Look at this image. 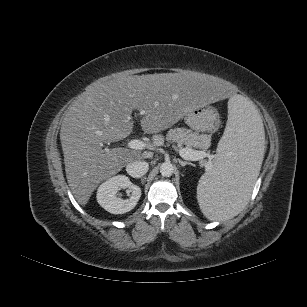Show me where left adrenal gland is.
I'll use <instances>...</instances> for the list:
<instances>
[{"instance_id": "a2214340", "label": "left adrenal gland", "mask_w": 307, "mask_h": 307, "mask_svg": "<svg viewBox=\"0 0 307 307\" xmlns=\"http://www.w3.org/2000/svg\"><path fill=\"white\" fill-rule=\"evenodd\" d=\"M178 161H179V163H180V165H181L182 167H185L186 165L195 166L193 163L187 162V161H182L181 159H178Z\"/></svg>"}]
</instances>
